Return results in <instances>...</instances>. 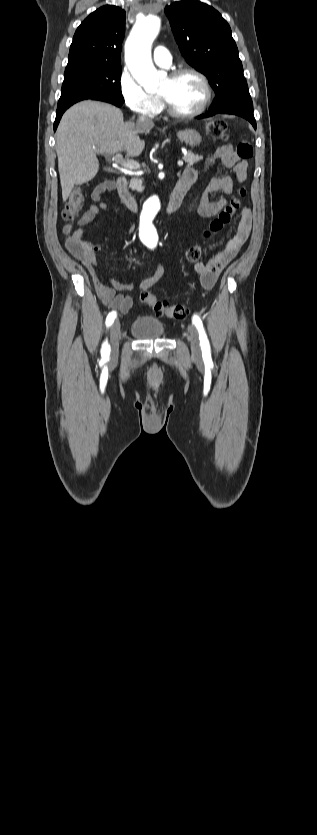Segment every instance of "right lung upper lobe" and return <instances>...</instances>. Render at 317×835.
Instances as JSON below:
<instances>
[{"label":"right lung upper lobe","mask_w":317,"mask_h":835,"mask_svg":"<svg viewBox=\"0 0 317 835\" xmlns=\"http://www.w3.org/2000/svg\"><path fill=\"white\" fill-rule=\"evenodd\" d=\"M126 13L106 5L91 13L77 28L70 46L68 65H120Z\"/></svg>","instance_id":"obj_1"}]
</instances>
